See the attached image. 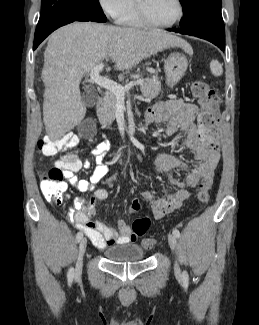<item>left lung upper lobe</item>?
Here are the masks:
<instances>
[{"label": "left lung upper lobe", "mask_w": 259, "mask_h": 325, "mask_svg": "<svg viewBox=\"0 0 259 325\" xmlns=\"http://www.w3.org/2000/svg\"><path fill=\"white\" fill-rule=\"evenodd\" d=\"M184 11L180 27H186L196 18L207 13H221L222 0H179Z\"/></svg>", "instance_id": "5c2ea615"}]
</instances>
